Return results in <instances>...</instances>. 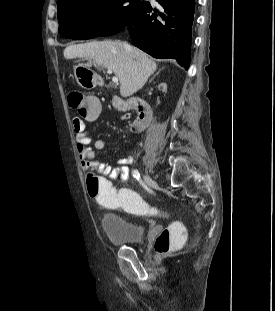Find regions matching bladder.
I'll list each match as a JSON object with an SVG mask.
<instances>
[{
	"label": "bladder",
	"mask_w": 275,
	"mask_h": 311,
	"mask_svg": "<svg viewBox=\"0 0 275 311\" xmlns=\"http://www.w3.org/2000/svg\"><path fill=\"white\" fill-rule=\"evenodd\" d=\"M102 229L108 239L118 245H137L143 237V228L115 213H105L101 219Z\"/></svg>",
	"instance_id": "bladder-1"
}]
</instances>
